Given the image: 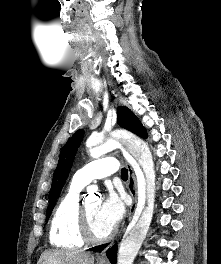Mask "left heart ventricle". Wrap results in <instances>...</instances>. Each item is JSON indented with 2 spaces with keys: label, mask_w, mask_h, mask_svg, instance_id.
Instances as JSON below:
<instances>
[{
  "label": "left heart ventricle",
  "mask_w": 221,
  "mask_h": 264,
  "mask_svg": "<svg viewBox=\"0 0 221 264\" xmlns=\"http://www.w3.org/2000/svg\"><path fill=\"white\" fill-rule=\"evenodd\" d=\"M85 206L93 234L97 237L106 235L112 228H110L100 216V200L95 197L87 198L85 200Z\"/></svg>",
  "instance_id": "1"
}]
</instances>
